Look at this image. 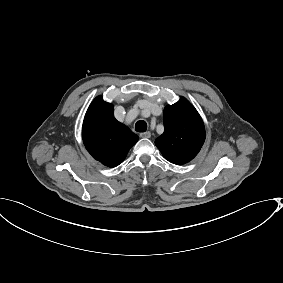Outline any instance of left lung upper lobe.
Segmentation results:
<instances>
[{
    "label": "left lung upper lobe",
    "mask_w": 283,
    "mask_h": 283,
    "mask_svg": "<svg viewBox=\"0 0 283 283\" xmlns=\"http://www.w3.org/2000/svg\"><path fill=\"white\" fill-rule=\"evenodd\" d=\"M164 133L155 140L163 157L169 162L182 165L191 161L205 141L202 118L184 97L168 105L163 113Z\"/></svg>",
    "instance_id": "obj_1"
}]
</instances>
